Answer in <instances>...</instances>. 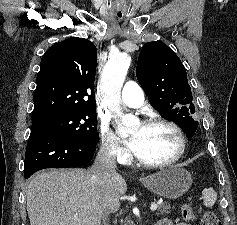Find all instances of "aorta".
<instances>
[{
    "label": "aorta",
    "mask_w": 237,
    "mask_h": 225,
    "mask_svg": "<svg viewBox=\"0 0 237 225\" xmlns=\"http://www.w3.org/2000/svg\"><path fill=\"white\" fill-rule=\"evenodd\" d=\"M131 58L127 53L112 55L103 69L101 78L102 98L112 112L122 121L121 134L130 132L138 123L137 117L124 114L120 109L121 88L129 69Z\"/></svg>",
    "instance_id": "1"
}]
</instances>
